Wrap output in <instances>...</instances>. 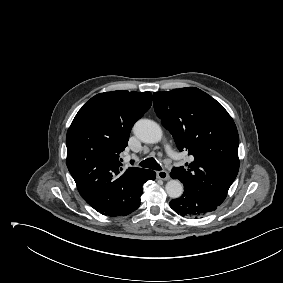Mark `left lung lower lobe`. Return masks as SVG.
<instances>
[{
  "mask_svg": "<svg viewBox=\"0 0 283 283\" xmlns=\"http://www.w3.org/2000/svg\"><path fill=\"white\" fill-rule=\"evenodd\" d=\"M170 176L173 178L171 173ZM218 206L219 204L212 201L203 193L186 186H184L183 195L170 202V207L177 214L187 218H198L208 215L215 211Z\"/></svg>",
  "mask_w": 283,
  "mask_h": 283,
  "instance_id": "left-lung-lower-lobe-1",
  "label": "left lung lower lobe"
}]
</instances>
